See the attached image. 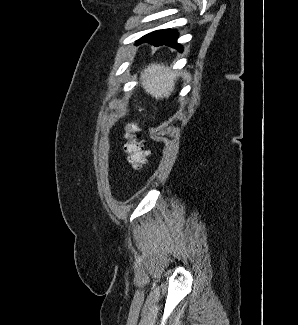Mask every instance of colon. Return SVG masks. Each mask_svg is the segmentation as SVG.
I'll return each instance as SVG.
<instances>
[{
	"instance_id": "colon-1",
	"label": "colon",
	"mask_w": 298,
	"mask_h": 325,
	"mask_svg": "<svg viewBox=\"0 0 298 325\" xmlns=\"http://www.w3.org/2000/svg\"><path fill=\"white\" fill-rule=\"evenodd\" d=\"M139 126L136 123H128L125 128V143L123 152L127 162L134 172L141 171L147 163V151L144 144L139 140Z\"/></svg>"
}]
</instances>
